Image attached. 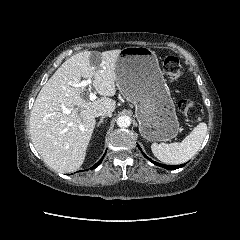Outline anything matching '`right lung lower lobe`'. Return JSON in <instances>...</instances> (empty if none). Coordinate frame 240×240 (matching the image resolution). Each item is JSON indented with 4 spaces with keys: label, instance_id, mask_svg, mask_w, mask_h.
Listing matches in <instances>:
<instances>
[{
    "label": "right lung lower lobe",
    "instance_id": "98d812e1",
    "mask_svg": "<svg viewBox=\"0 0 240 240\" xmlns=\"http://www.w3.org/2000/svg\"><path fill=\"white\" fill-rule=\"evenodd\" d=\"M103 158H104V156L93 167H91V169L96 168L102 162Z\"/></svg>",
    "mask_w": 240,
    "mask_h": 240
}]
</instances>
